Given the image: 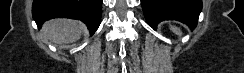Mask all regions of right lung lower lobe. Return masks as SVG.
Instances as JSON below:
<instances>
[{"mask_svg":"<svg viewBox=\"0 0 244 73\" xmlns=\"http://www.w3.org/2000/svg\"><path fill=\"white\" fill-rule=\"evenodd\" d=\"M102 0H34L32 15L38 28L49 19L65 17L87 24L90 34L100 25Z\"/></svg>","mask_w":244,"mask_h":73,"instance_id":"98d812e1","label":"right lung lower lobe"}]
</instances>
